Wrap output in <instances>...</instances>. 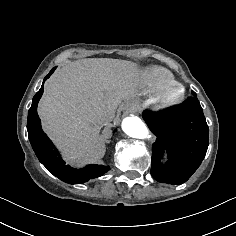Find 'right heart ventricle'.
<instances>
[{
  "mask_svg": "<svg viewBox=\"0 0 236 236\" xmlns=\"http://www.w3.org/2000/svg\"><path fill=\"white\" fill-rule=\"evenodd\" d=\"M177 84L172 73L162 68H151L147 71L146 93L159 96L160 93Z\"/></svg>",
  "mask_w": 236,
  "mask_h": 236,
  "instance_id": "right-heart-ventricle-1",
  "label": "right heart ventricle"
}]
</instances>
